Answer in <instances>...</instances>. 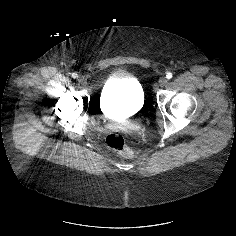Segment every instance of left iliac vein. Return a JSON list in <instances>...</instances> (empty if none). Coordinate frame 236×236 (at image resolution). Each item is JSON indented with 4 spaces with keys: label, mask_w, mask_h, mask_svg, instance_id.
<instances>
[{
    "label": "left iliac vein",
    "mask_w": 236,
    "mask_h": 236,
    "mask_svg": "<svg viewBox=\"0 0 236 236\" xmlns=\"http://www.w3.org/2000/svg\"><path fill=\"white\" fill-rule=\"evenodd\" d=\"M158 83H159V85H160L161 87H163V86L166 85L167 79H166L165 77H161V78L159 79Z\"/></svg>",
    "instance_id": "obj_1"
}]
</instances>
